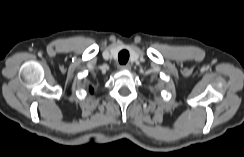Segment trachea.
<instances>
[{"mask_svg": "<svg viewBox=\"0 0 244 157\" xmlns=\"http://www.w3.org/2000/svg\"><path fill=\"white\" fill-rule=\"evenodd\" d=\"M118 60L120 64H126L129 60V52L127 50H122L118 54Z\"/></svg>", "mask_w": 244, "mask_h": 157, "instance_id": "obj_1", "label": "trachea"}]
</instances>
